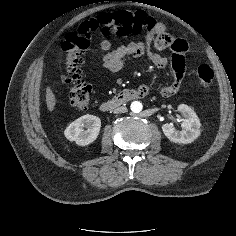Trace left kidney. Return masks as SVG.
<instances>
[{
  "mask_svg": "<svg viewBox=\"0 0 236 236\" xmlns=\"http://www.w3.org/2000/svg\"><path fill=\"white\" fill-rule=\"evenodd\" d=\"M178 111L182 114V127L184 130H176L172 123L162 125V130L165 136L174 143L188 144L197 139L200 132V121L194 110L188 105L181 104L178 106Z\"/></svg>",
  "mask_w": 236,
  "mask_h": 236,
  "instance_id": "1",
  "label": "left kidney"
}]
</instances>
